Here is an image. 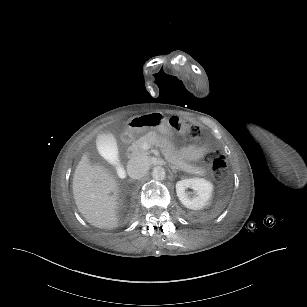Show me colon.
<instances>
[{
	"instance_id": "obj_1",
	"label": "colon",
	"mask_w": 307,
	"mask_h": 307,
	"mask_svg": "<svg viewBox=\"0 0 307 307\" xmlns=\"http://www.w3.org/2000/svg\"><path fill=\"white\" fill-rule=\"evenodd\" d=\"M170 127L178 132L184 139L193 141L199 137L200 129L195 124H188L178 117H170ZM205 162L217 179H222L227 174L226 156L219 151H210L206 154Z\"/></svg>"
}]
</instances>
